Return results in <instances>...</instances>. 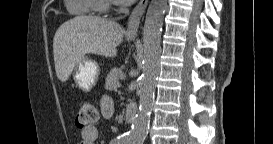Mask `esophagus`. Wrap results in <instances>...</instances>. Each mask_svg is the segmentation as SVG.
<instances>
[{
    "instance_id": "34e87169",
    "label": "esophagus",
    "mask_w": 273,
    "mask_h": 144,
    "mask_svg": "<svg viewBox=\"0 0 273 144\" xmlns=\"http://www.w3.org/2000/svg\"><path fill=\"white\" fill-rule=\"evenodd\" d=\"M147 4H148V0H140L137 6L132 11L131 15L129 16L127 31H126L129 36L137 35L141 18L145 12Z\"/></svg>"
}]
</instances>
